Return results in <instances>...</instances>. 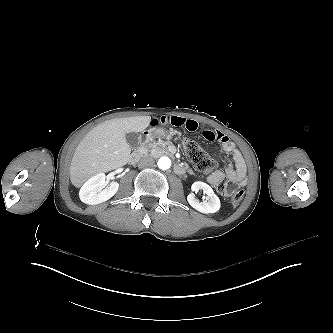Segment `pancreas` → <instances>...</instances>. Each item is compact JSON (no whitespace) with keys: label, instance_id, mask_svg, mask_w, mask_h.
Here are the masks:
<instances>
[{"label":"pancreas","instance_id":"pancreas-1","mask_svg":"<svg viewBox=\"0 0 333 333\" xmlns=\"http://www.w3.org/2000/svg\"><path fill=\"white\" fill-rule=\"evenodd\" d=\"M140 151L143 152V155L151 156L154 158L170 154L168 147L164 141L159 143L158 142L150 143L147 145V147L142 148Z\"/></svg>","mask_w":333,"mask_h":333}]
</instances>
